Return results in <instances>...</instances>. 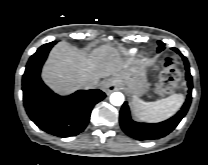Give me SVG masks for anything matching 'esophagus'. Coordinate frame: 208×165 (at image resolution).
Here are the masks:
<instances>
[{
    "label": "esophagus",
    "mask_w": 208,
    "mask_h": 165,
    "mask_svg": "<svg viewBox=\"0 0 208 165\" xmlns=\"http://www.w3.org/2000/svg\"><path fill=\"white\" fill-rule=\"evenodd\" d=\"M103 89L106 93H111L117 89V83L114 79H108L103 84Z\"/></svg>",
    "instance_id": "esophagus-1"
}]
</instances>
